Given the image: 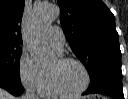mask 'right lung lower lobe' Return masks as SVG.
I'll use <instances>...</instances> for the list:
<instances>
[{"mask_svg":"<svg viewBox=\"0 0 128 99\" xmlns=\"http://www.w3.org/2000/svg\"><path fill=\"white\" fill-rule=\"evenodd\" d=\"M0 87L6 89L15 96L22 94L24 91L21 83H16L3 77H0Z\"/></svg>","mask_w":128,"mask_h":99,"instance_id":"1","label":"right lung lower lobe"}]
</instances>
